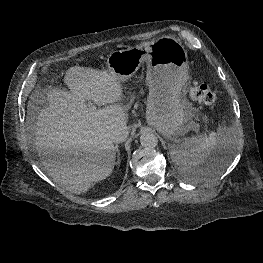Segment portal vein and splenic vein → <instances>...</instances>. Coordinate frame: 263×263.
<instances>
[{
    "label": "portal vein and splenic vein",
    "mask_w": 263,
    "mask_h": 263,
    "mask_svg": "<svg viewBox=\"0 0 263 263\" xmlns=\"http://www.w3.org/2000/svg\"><path fill=\"white\" fill-rule=\"evenodd\" d=\"M88 107L92 110L96 108L91 101L88 102Z\"/></svg>",
    "instance_id": "portal-vein-and-splenic-vein-1"
}]
</instances>
